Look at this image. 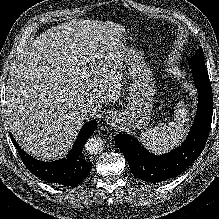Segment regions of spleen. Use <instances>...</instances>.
<instances>
[{
  "mask_svg": "<svg viewBox=\"0 0 219 219\" xmlns=\"http://www.w3.org/2000/svg\"><path fill=\"white\" fill-rule=\"evenodd\" d=\"M189 111L183 101L177 103L175 122L168 125L161 123L154 128L142 132L140 142L154 153H163L179 144L185 135V123L188 121Z\"/></svg>",
  "mask_w": 219,
  "mask_h": 219,
  "instance_id": "obj_1",
  "label": "spleen"
}]
</instances>
